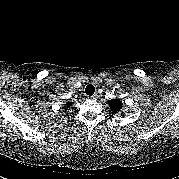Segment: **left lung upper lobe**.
Listing matches in <instances>:
<instances>
[{
    "instance_id": "5c2ea615",
    "label": "left lung upper lobe",
    "mask_w": 179,
    "mask_h": 179,
    "mask_svg": "<svg viewBox=\"0 0 179 179\" xmlns=\"http://www.w3.org/2000/svg\"><path fill=\"white\" fill-rule=\"evenodd\" d=\"M109 106L111 108V111H113L114 113H117L121 110L122 103L118 99H113V100L109 101Z\"/></svg>"
}]
</instances>
